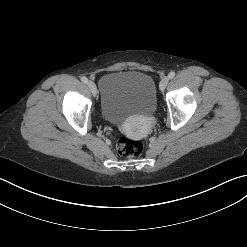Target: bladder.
I'll return each instance as SVG.
<instances>
[{"instance_id":"31cf9c89","label":"bladder","mask_w":247,"mask_h":247,"mask_svg":"<svg viewBox=\"0 0 247 247\" xmlns=\"http://www.w3.org/2000/svg\"><path fill=\"white\" fill-rule=\"evenodd\" d=\"M98 90L102 115L116 126H123L132 116H150L157 106L154 81L145 73L106 74L100 78Z\"/></svg>"}]
</instances>
